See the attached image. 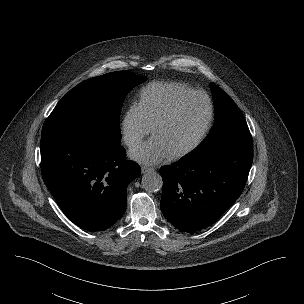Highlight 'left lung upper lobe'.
Wrapping results in <instances>:
<instances>
[{"mask_svg": "<svg viewBox=\"0 0 304 304\" xmlns=\"http://www.w3.org/2000/svg\"><path fill=\"white\" fill-rule=\"evenodd\" d=\"M215 105V123L206 139L188 157L229 143H252L246 120L235 102L214 83L210 84Z\"/></svg>", "mask_w": 304, "mask_h": 304, "instance_id": "1", "label": "left lung upper lobe"}]
</instances>
